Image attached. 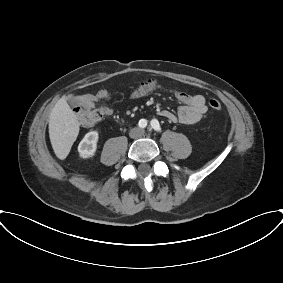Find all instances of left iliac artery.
Masks as SVG:
<instances>
[{
  "instance_id": "44dca946",
  "label": "left iliac artery",
  "mask_w": 283,
  "mask_h": 283,
  "mask_svg": "<svg viewBox=\"0 0 283 283\" xmlns=\"http://www.w3.org/2000/svg\"><path fill=\"white\" fill-rule=\"evenodd\" d=\"M151 126H152V128H153L155 131H157V132H160V131H161V127H160V124H159L158 120L153 119V120L151 121Z\"/></svg>"
}]
</instances>
